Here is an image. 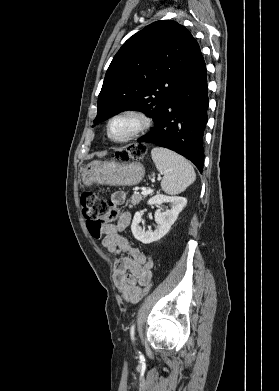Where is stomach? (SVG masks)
<instances>
[{"mask_svg":"<svg viewBox=\"0 0 279 391\" xmlns=\"http://www.w3.org/2000/svg\"><path fill=\"white\" fill-rule=\"evenodd\" d=\"M144 174L145 168L139 162L121 164L115 161H92L82 169L81 180L86 186L93 183L133 186L142 180Z\"/></svg>","mask_w":279,"mask_h":391,"instance_id":"0dacf381","label":"stomach"}]
</instances>
